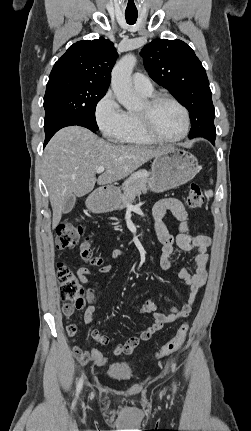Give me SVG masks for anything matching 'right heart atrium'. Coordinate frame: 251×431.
I'll return each mask as SVG.
<instances>
[{"label":"right heart atrium","mask_w":251,"mask_h":431,"mask_svg":"<svg viewBox=\"0 0 251 431\" xmlns=\"http://www.w3.org/2000/svg\"><path fill=\"white\" fill-rule=\"evenodd\" d=\"M94 117L100 131L109 139H117L127 122L126 111L110 90L96 103Z\"/></svg>","instance_id":"1"}]
</instances>
